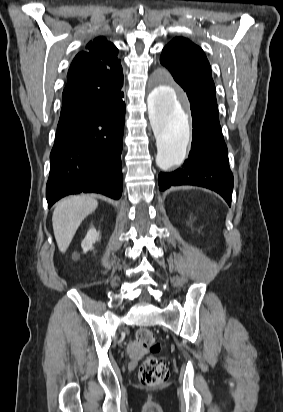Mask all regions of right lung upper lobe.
Here are the masks:
<instances>
[{"label":"right lung upper lobe","mask_w":283,"mask_h":412,"mask_svg":"<svg viewBox=\"0 0 283 412\" xmlns=\"http://www.w3.org/2000/svg\"><path fill=\"white\" fill-rule=\"evenodd\" d=\"M118 49L104 37L89 42L87 50L80 52L68 71V83L63 91V101L78 91L107 82L112 85L123 83L121 61Z\"/></svg>","instance_id":"cb5924a9"}]
</instances>
